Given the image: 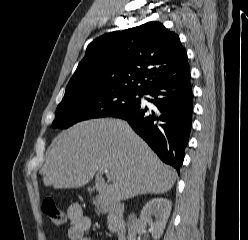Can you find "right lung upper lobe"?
<instances>
[{"instance_id": "obj_1", "label": "right lung upper lobe", "mask_w": 248, "mask_h": 240, "mask_svg": "<svg viewBox=\"0 0 248 240\" xmlns=\"http://www.w3.org/2000/svg\"><path fill=\"white\" fill-rule=\"evenodd\" d=\"M188 70L179 36L152 21L92 41L66 90L104 88L145 93Z\"/></svg>"}]
</instances>
